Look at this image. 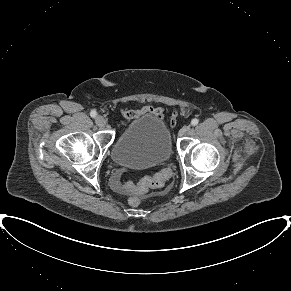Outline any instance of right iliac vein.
I'll list each match as a JSON object with an SVG mask.
<instances>
[{"instance_id":"1","label":"right iliac vein","mask_w":291,"mask_h":291,"mask_svg":"<svg viewBox=\"0 0 291 291\" xmlns=\"http://www.w3.org/2000/svg\"><path fill=\"white\" fill-rule=\"evenodd\" d=\"M95 122L99 127H104L107 123L106 119L102 116L96 117Z\"/></svg>"}]
</instances>
